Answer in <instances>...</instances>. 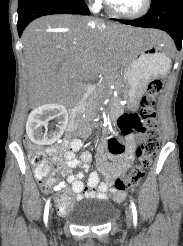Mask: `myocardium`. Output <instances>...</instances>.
Wrapping results in <instances>:
<instances>
[{"label":"myocardium","mask_w":183,"mask_h":246,"mask_svg":"<svg viewBox=\"0 0 183 246\" xmlns=\"http://www.w3.org/2000/svg\"><path fill=\"white\" fill-rule=\"evenodd\" d=\"M151 2L152 0H144L142 7L134 13H123V12L116 10L112 6L109 0H105V5H106V9L108 10V12L115 17L122 18V19H136L147 13V11L150 8Z\"/></svg>","instance_id":"f54148a6"}]
</instances>
